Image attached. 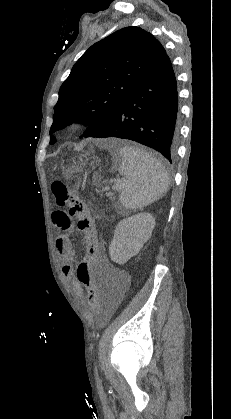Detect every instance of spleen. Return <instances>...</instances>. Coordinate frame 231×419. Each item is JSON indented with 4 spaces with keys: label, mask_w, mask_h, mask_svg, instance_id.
Instances as JSON below:
<instances>
[{
    "label": "spleen",
    "mask_w": 231,
    "mask_h": 419,
    "mask_svg": "<svg viewBox=\"0 0 231 419\" xmlns=\"http://www.w3.org/2000/svg\"><path fill=\"white\" fill-rule=\"evenodd\" d=\"M120 202L125 209H142L161 198L168 190L165 167L152 154L133 146L120 149Z\"/></svg>",
    "instance_id": "obj_1"
}]
</instances>
